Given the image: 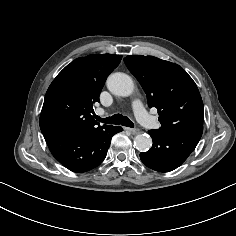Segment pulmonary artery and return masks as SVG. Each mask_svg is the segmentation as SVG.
Listing matches in <instances>:
<instances>
[{"label": "pulmonary artery", "mask_w": 236, "mask_h": 236, "mask_svg": "<svg viewBox=\"0 0 236 236\" xmlns=\"http://www.w3.org/2000/svg\"><path fill=\"white\" fill-rule=\"evenodd\" d=\"M133 111L135 114L136 119L141 123V124H146L147 121L149 120V115L146 112L143 104L140 101H135L133 103ZM97 115H103L104 111L102 109H97L96 110Z\"/></svg>", "instance_id": "pulmonary-artery-1"}]
</instances>
